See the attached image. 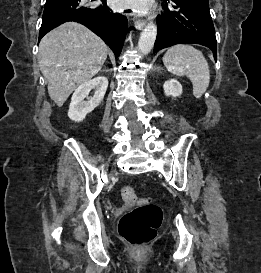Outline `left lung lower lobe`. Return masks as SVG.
<instances>
[{
    "label": "left lung lower lobe",
    "instance_id": "1",
    "mask_svg": "<svg viewBox=\"0 0 261 273\" xmlns=\"http://www.w3.org/2000/svg\"><path fill=\"white\" fill-rule=\"evenodd\" d=\"M164 13L157 17L154 53L179 43L210 48L216 60V37L208 0H164ZM170 6L171 10L168 8Z\"/></svg>",
    "mask_w": 261,
    "mask_h": 273
}]
</instances>
